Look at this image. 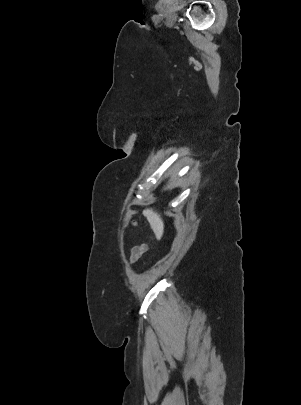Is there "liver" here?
<instances>
[{
    "mask_svg": "<svg viewBox=\"0 0 301 405\" xmlns=\"http://www.w3.org/2000/svg\"><path fill=\"white\" fill-rule=\"evenodd\" d=\"M144 216L147 218L153 232L157 239H160L164 232V223L161 216L152 209L144 210Z\"/></svg>",
    "mask_w": 301,
    "mask_h": 405,
    "instance_id": "1",
    "label": "liver"
}]
</instances>
